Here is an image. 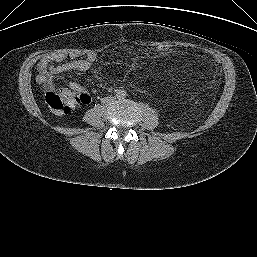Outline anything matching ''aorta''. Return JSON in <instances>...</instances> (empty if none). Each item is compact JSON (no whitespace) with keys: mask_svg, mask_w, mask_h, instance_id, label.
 Listing matches in <instances>:
<instances>
[{"mask_svg":"<svg viewBox=\"0 0 257 257\" xmlns=\"http://www.w3.org/2000/svg\"><path fill=\"white\" fill-rule=\"evenodd\" d=\"M117 98L124 99L127 96V92L125 90H118L116 93Z\"/></svg>","mask_w":257,"mask_h":257,"instance_id":"762f6f07","label":"aorta"}]
</instances>
